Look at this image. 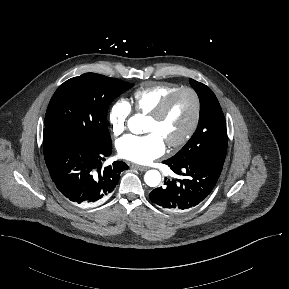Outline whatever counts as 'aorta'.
I'll return each mask as SVG.
<instances>
[{"instance_id": "1", "label": "aorta", "mask_w": 289, "mask_h": 289, "mask_svg": "<svg viewBox=\"0 0 289 289\" xmlns=\"http://www.w3.org/2000/svg\"><path fill=\"white\" fill-rule=\"evenodd\" d=\"M137 122H139V117L134 118ZM145 183L150 187H156L161 182V174L157 170H149L145 173L144 176Z\"/></svg>"}]
</instances>
